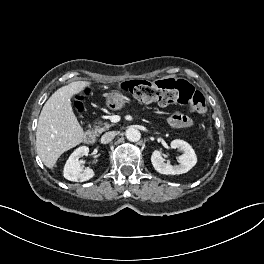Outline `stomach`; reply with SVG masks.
<instances>
[{"instance_id":"stomach-1","label":"stomach","mask_w":264,"mask_h":264,"mask_svg":"<svg viewBox=\"0 0 264 264\" xmlns=\"http://www.w3.org/2000/svg\"><path fill=\"white\" fill-rule=\"evenodd\" d=\"M106 99V105L112 110H120L122 109L126 102L127 97L124 96L120 91L118 90H112L106 93L105 95Z\"/></svg>"}]
</instances>
